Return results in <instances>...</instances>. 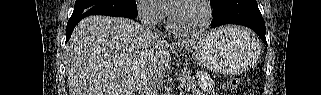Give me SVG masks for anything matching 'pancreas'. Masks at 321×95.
Returning <instances> with one entry per match:
<instances>
[{
    "label": "pancreas",
    "mask_w": 321,
    "mask_h": 95,
    "mask_svg": "<svg viewBox=\"0 0 321 95\" xmlns=\"http://www.w3.org/2000/svg\"><path fill=\"white\" fill-rule=\"evenodd\" d=\"M180 88H184L186 91L193 90L196 86L194 77L188 71H182L180 74Z\"/></svg>",
    "instance_id": "1"
}]
</instances>
